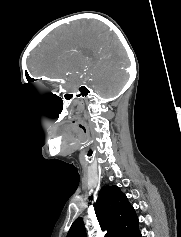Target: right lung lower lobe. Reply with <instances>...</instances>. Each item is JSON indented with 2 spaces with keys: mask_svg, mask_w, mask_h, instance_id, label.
Here are the masks:
<instances>
[{
  "mask_svg": "<svg viewBox=\"0 0 181 237\" xmlns=\"http://www.w3.org/2000/svg\"><path fill=\"white\" fill-rule=\"evenodd\" d=\"M136 237H141V233L139 232V233L136 235Z\"/></svg>",
  "mask_w": 181,
  "mask_h": 237,
  "instance_id": "1",
  "label": "right lung lower lobe"
}]
</instances>
